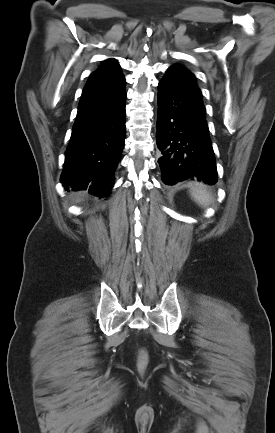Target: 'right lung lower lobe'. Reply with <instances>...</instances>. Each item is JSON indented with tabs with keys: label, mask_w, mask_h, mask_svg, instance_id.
<instances>
[{
	"label": "right lung lower lobe",
	"mask_w": 275,
	"mask_h": 433,
	"mask_svg": "<svg viewBox=\"0 0 275 433\" xmlns=\"http://www.w3.org/2000/svg\"><path fill=\"white\" fill-rule=\"evenodd\" d=\"M125 83L82 94L66 150L61 183L108 196L125 144Z\"/></svg>",
	"instance_id": "1"
}]
</instances>
